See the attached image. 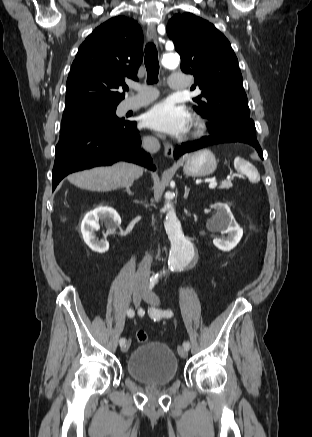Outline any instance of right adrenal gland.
Here are the masks:
<instances>
[{"mask_svg": "<svg viewBox=\"0 0 312 437\" xmlns=\"http://www.w3.org/2000/svg\"><path fill=\"white\" fill-rule=\"evenodd\" d=\"M125 190H126V192H127L129 195H132V194H133L132 191H131V189H130V186L126 187Z\"/></svg>", "mask_w": 312, "mask_h": 437, "instance_id": "2a0ac1e0", "label": "right adrenal gland"}]
</instances>
